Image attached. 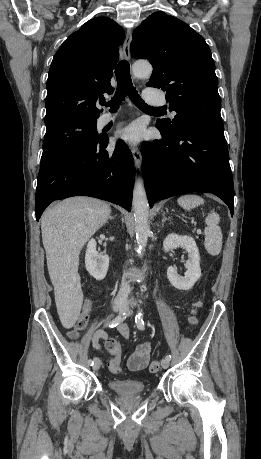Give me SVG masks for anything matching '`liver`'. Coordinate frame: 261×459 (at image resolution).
I'll return each mask as SVG.
<instances>
[{"label": "liver", "mask_w": 261, "mask_h": 459, "mask_svg": "<svg viewBox=\"0 0 261 459\" xmlns=\"http://www.w3.org/2000/svg\"><path fill=\"white\" fill-rule=\"evenodd\" d=\"M110 214L107 203L77 196L49 208L41 219L42 241L57 311L67 328L75 324L83 300L78 274L80 252Z\"/></svg>", "instance_id": "obj_1"}]
</instances>
